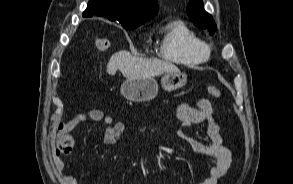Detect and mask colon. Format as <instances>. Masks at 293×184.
<instances>
[{
	"label": "colon",
	"mask_w": 293,
	"mask_h": 184,
	"mask_svg": "<svg viewBox=\"0 0 293 184\" xmlns=\"http://www.w3.org/2000/svg\"><path fill=\"white\" fill-rule=\"evenodd\" d=\"M109 47V40L105 37H98L93 42V50L96 52H103ZM206 92L214 97H221V90L214 85H207L205 87ZM73 148V140L69 135V132L65 130L64 126H60L58 131V137L55 144L56 155H68Z\"/></svg>",
	"instance_id": "obj_1"
}]
</instances>
